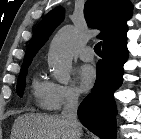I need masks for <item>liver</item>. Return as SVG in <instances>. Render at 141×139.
Returning a JSON list of instances; mask_svg holds the SVG:
<instances>
[{
	"label": "liver",
	"mask_w": 141,
	"mask_h": 139,
	"mask_svg": "<svg viewBox=\"0 0 141 139\" xmlns=\"http://www.w3.org/2000/svg\"><path fill=\"white\" fill-rule=\"evenodd\" d=\"M11 139H72V134L61 115L30 113L15 119Z\"/></svg>",
	"instance_id": "6515ba94"
}]
</instances>
